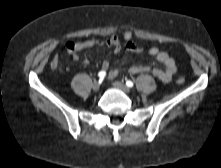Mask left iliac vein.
Returning a JSON list of instances; mask_svg holds the SVG:
<instances>
[{"instance_id": "obj_1", "label": "left iliac vein", "mask_w": 221, "mask_h": 168, "mask_svg": "<svg viewBox=\"0 0 221 168\" xmlns=\"http://www.w3.org/2000/svg\"><path fill=\"white\" fill-rule=\"evenodd\" d=\"M114 87H116L117 89L123 91L124 93H130L131 90L129 87H127L124 83L120 82V81H115L113 83Z\"/></svg>"}]
</instances>
